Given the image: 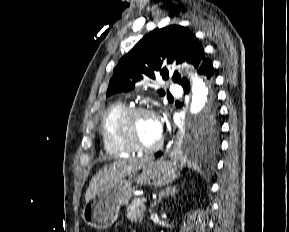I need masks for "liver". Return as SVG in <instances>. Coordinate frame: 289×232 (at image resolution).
Wrapping results in <instances>:
<instances>
[{
	"label": "liver",
	"mask_w": 289,
	"mask_h": 232,
	"mask_svg": "<svg viewBox=\"0 0 289 232\" xmlns=\"http://www.w3.org/2000/svg\"><path fill=\"white\" fill-rule=\"evenodd\" d=\"M148 162L147 159L122 160L102 168L92 177L85 201L88 202L95 194L110 188L119 179L137 172Z\"/></svg>",
	"instance_id": "1"
}]
</instances>
